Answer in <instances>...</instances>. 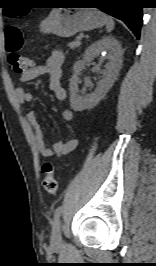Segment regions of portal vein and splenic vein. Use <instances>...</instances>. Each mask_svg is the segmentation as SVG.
I'll return each mask as SVG.
<instances>
[{
    "mask_svg": "<svg viewBox=\"0 0 156 266\" xmlns=\"http://www.w3.org/2000/svg\"><path fill=\"white\" fill-rule=\"evenodd\" d=\"M81 38H82V36H78V37H77V40H79V41H80V40H81Z\"/></svg>",
    "mask_w": 156,
    "mask_h": 266,
    "instance_id": "obj_1",
    "label": "portal vein and splenic vein"
}]
</instances>
